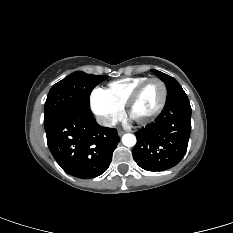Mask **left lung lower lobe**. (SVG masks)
<instances>
[{"instance_id":"1","label":"left lung lower lobe","mask_w":233,"mask_h":233,"mask_svg":"<svg viewBox=\"0 0 233 233\" xmlns=\"http://www.w3.org/2000/svg\"><path fill=\"white\" fill-rule=\"evenodd\" d=\"M191 132V106L186 94L166 102L154 123L135 133L132 154L147 171H164L184 157Z\"/></svg>"}]
</instances>
